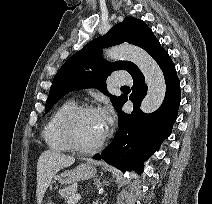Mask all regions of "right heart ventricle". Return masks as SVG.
I'll use <instances>...</instances> for the list:
<instances>
[{"instance_id":"e07e8e85","label":"right heart ventricle","mask_w":212,"mask_h":204,"mask_svg":"<svg viewBox=\"0 0 212 204\" xmlns=\"http://www.w3.org/2000/svg\"><path fill=\"white\" fill-rule=\"evenodd\" d=\"M74 106H76L74 100L63 102L54 110L44 126L43 139L46 145L53 151L66 152L70 150L61 136L60 121L64 114Z\"/></svg>"}]
</instances>
